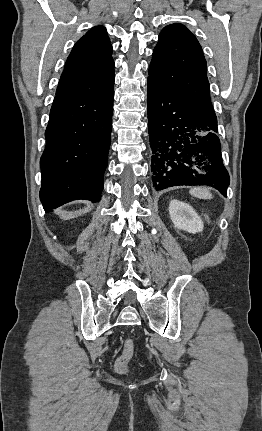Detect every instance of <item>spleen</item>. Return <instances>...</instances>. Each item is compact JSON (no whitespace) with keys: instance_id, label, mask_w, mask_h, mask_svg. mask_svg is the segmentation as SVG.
<instances>
[{"instance_id":"3e777b00","label":"spleen","mask_w":262,"mask_h":431,"mask_svg":"<svg viewBox=\"0 0 262 431\" xmlns=\"http://www.w3.org/2000/svg\"><path fill=\"white\" fill-rule=\"evenodd\" d=\"M190 194L196 198L200 199H212V194L204 188H193L190 190Z\"/></svg>"}]
</instances>
